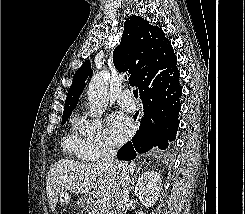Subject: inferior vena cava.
Here are the masks:
<instances>
[{"label":"inferior vena cava","instance_id":"602c4592","mask_svg":"<svg viewBox=\"0 0 245 214\" xmlns=\"http://www.w3.org/2000/svg\"><path fill=\"white\" fill-rule=\"evenodd\" d=\"M98 164L100 167L107 168L116 175L117 180L113 199L115 214H126L130 191V175L127 164L117 160L115 150L107 143L101 146Z\"/></svg>","mask_w":245,"mask_h":214}]
</instances>
